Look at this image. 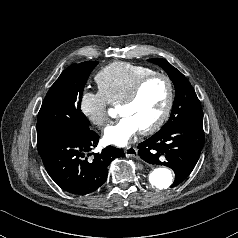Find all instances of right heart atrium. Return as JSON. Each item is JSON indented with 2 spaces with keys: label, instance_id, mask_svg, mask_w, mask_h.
<instances>
[{
  "label": "right heart atrium",
  "instance_id": "1",
  "mask_svg": "<svg viewBox=\"0 0 238 238\" xmlns=\"http://www.w3.org/2000/svg\"><path fill=\"white\" fill-rule=\"evenodd\" d=\"M109 103L107 97L98 90H86L80 100V108L88 120L98 127L110 122Z\"/></svg>",
  "mask_w": 238,
  "mask_h": 238
}]
</instances>
